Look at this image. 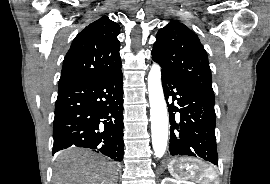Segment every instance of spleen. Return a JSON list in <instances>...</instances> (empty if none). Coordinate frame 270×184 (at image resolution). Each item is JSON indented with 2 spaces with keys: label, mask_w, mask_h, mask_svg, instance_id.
I'll return each instance as SVG.
<instances>
[{
  "label": "spleen",
  "mask_w": 270,
  "mask_h": 184,
  "mask_svg": "<svg viewBox=\"0 0 270 184\" xmlns=\"http://www.w3.org/2000/svg\"><path fill=\"white\" fill-rule=\"evenodd\" d=\"M185 161V167L186 170L182 173L181 176H173L178 180H181L183 182L187 183H193L194 182H188L187 180H198L201 184H218L217 183V175L216 172L212 167L207 166H200L197 163H190L187 160Z\"/></svg>",
  "instance_id": "obj_1"
}]
</instances>
